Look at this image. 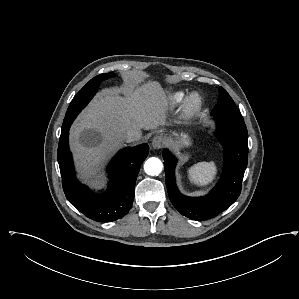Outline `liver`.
Returning a JSON list of instances; mask_svg holds the SVG:
<instances>
[{"label": "liver", "instance_id": "liver-1", "mask_svg": "<svg viewBox=\"0 0 299 299\" xmlns=\"http://www.w3.org/2000/svg\"><path fill=\"white\" fill-rule=\"evenodd\" d=\"M167 99L157 82L103 89L83 111L71 148L81 177L95 175L125 141L131 129L156 130L165 125Z\"/></svg>", "mask_w": 299, "mask_h": 299}]
</instances>
